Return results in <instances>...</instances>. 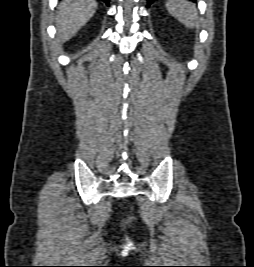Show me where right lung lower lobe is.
Segmentation results:
<instances>
[{
    "mask_svg": "<svg viewBox=\"0 0 254 267\" xmlns=\"http://www.w3.org/2000/svg\"><path fill=\"white\" fill-rule=\"evenodd\" d=\"M106 5H109V0H102Z\"/></svg>",
    "mask_w": 254,
    "mask_h": 267,
    "instance_id": "1",
    "label": "right lung lower lobe"
}]
</instances>
